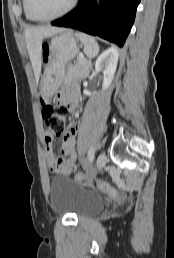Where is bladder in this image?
<instances>
[{"mask_svg":"<svg viewBox=\"0 0 174 258\" xmlns=\"http://www.w3.org/2000/svg\"><path fill=\"white\" fill-rule=\"evenodd\" d=\"M49 197L55 211L77 217L95 214L105 205L102 196L81 189L72 179L62 175L51 179Z\"/></svg>","mask_w":174,"mask_h":258,"instance_id":"obj_1","label":"bladder"}]
</instances>
